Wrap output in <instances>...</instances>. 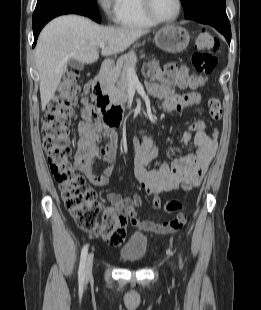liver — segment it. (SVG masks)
<instances>
[{"label":"liver","instance_id":"obj_1","mask_svg":"<svg viewBox=\"0 0 261 310\" xmlns=\"http://www.w3.org/2000/svg\"><path fill=\"white\" fill-rule=\"evenodd\" d=\"M146 33L142 29L100 26L78 15H64L49 22L41 31L35 50L42 110L54 96L70 59L94 63L99 58L100 43L106 44L101 51L103 56L115 55Z\"/></svg>","mask_w":261,"mask_h":310}]
</instances>
